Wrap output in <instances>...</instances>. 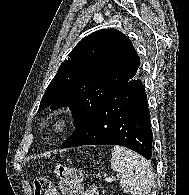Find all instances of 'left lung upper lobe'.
Returning a JSON list of instances; mask_svg holds the SVG:
<instances>
[{"mask_svg":"<svg viewBox=\"0 0 189 195\" xmlns=\"http://www.w3.org/2000/svg\"><path fill=\"white\" fill-rule=\"evenodd\" d=\"M47 87L40 109L69 107L78 128L112 93L135 80L140 59L116 29L84 37Z\"/></svg>","mask_w":189,"mask_h":195,"instance_id":"obj_1","label":"left lung upper lobe"}]
</instances>
